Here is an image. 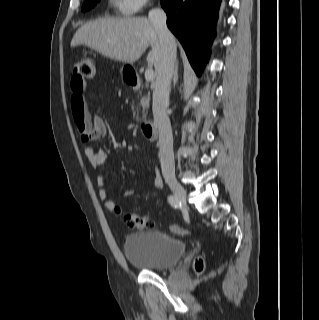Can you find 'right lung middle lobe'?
Masks as SVG:
<instances>
[{
  "mask_svg": "<svg viewBox=\"0 0 319 320\" xmlns=\"http://www.w3.org/2000/svg\"><path fill=\"white\" fill-rule=\"evenodd\" d=\"M99 1L100 0H87L82 6V11H87L93 8Z\"/></svg>",
  "mask_w": 319,
  "mask_h": 320,
  "instance_id": "1",
  "label": "right lung middle lobe"
}]
</instances>
